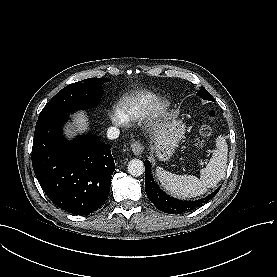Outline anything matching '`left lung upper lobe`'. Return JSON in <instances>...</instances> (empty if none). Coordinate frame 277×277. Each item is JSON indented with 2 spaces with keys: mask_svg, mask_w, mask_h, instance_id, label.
<instances>
[{
  "mask_svg": "<svg viewBox=\"0 0 277 277\" xmlns=\"http://www.w3.org/2000/svg\"><path fill=\"white\" fill-rule=\"evenodd\" d=\"M197 94L205 100L215 101L211 94L204 87H202Z\"/></svg>",
  "mask_w": 277,
  "mask_h": 277,
  "instance_id": "5c2ea615",
  "label": "left lung upper lobe"
}]
</instances>
